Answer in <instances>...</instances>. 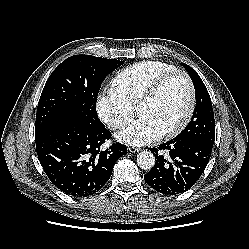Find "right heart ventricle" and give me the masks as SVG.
<instances>
[{
  "label": "right heart ventricle",
  "instance_id": "obj_1",
  "mask_svg": "<svg viewBox=\"0 0 249 249\" xmlns=\"http://www.w3.org/2000/svg\"><path fill=\"white\" fill-rule=\"evenodd\" d=\"M176 70L172 64L147 60L130 65L112 79V89L130 106L134 107L148 87L160 76Z\"/></svg>",
  "mask_w": 249,
  "mask_h": 249
}]
</instances>
